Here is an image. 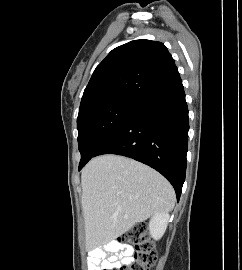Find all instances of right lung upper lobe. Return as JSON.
Listing matches in <instances>:
<instances>
[{
  "label": "right lung upper lobe",
  "mask_w": 242,
  "mask_h": 270,
  "mask_svg": "<svg viewBox=\"0 0 242 270\" xmlns=\"http://www.w3.org/2000/svg\"><path fill=\"white\" fill-rule=\"evenodd\" d=\"M179 76L163 43L134 40L113 49L96 67L79 113L118 100L138 102Z\"/></svg>",
  "instance_id": "cb5924a9"
}]
</instances>
